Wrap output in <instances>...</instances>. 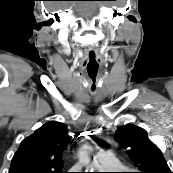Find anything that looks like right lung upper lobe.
I'll return each mask as SVG.
<instances>
[{"mask_svg":"<svg viewBox=\"0 0 173 173\" xmlns=\"http://www.w3.org/2000/svg\"><path fill=\"white\" fill-rule=\"evenodd\" d=\"M72 142L67 127L50 121L25 138L12 158L9 173H62V154Z\"/></svg>","mask_w":173,"mask_h":173,"instance_id":"1","label":"right lung upper lobe"}]
</instances>
